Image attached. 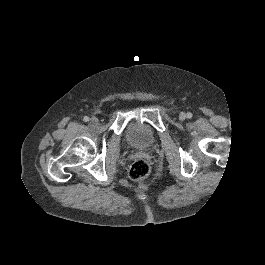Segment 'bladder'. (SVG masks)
<instances>
[{"mask_svg":"<svg viewBox=\"0 0 265 265\" xmlns=\"http://www.w3.org/2000/svg\"><path fill=\"white\" fill-rule=\"evenodd\" d=\"M128 141L135 148H148L155 143V137L146 123H133L128 133Z\"/></svg>","mask_w":265,"mask_h":265,"instance_id":"bladder-1","label":"bladder"}]
</instances>
